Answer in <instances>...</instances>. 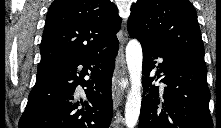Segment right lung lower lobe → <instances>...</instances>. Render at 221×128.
Listing matches in <instances>:
<instances>
[{"mask_svg":"<svg viewBox=\"0 0 221 128\" xmlns=\"http://www.w3.org/2000/svg\"><path fill=\"white\" fill-rule=\"evenodd\" d=\"M118 48L116 41L92 54L70 56L38 69L19 128H108ZM78 85L85 88L82 98Z\"/></svg>","mask_w":221,"mask_h":128,"instance_id":"1","label":"right lung lower lobe"}]
</instances>
